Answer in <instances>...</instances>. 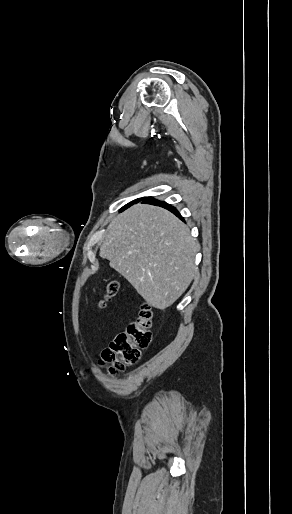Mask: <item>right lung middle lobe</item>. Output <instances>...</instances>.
Wrapping results in <instances>:
<instances>
[{
  "mask_svg": "<svg viewBox=\"0 0 292 514\" xmlns=\"http://www.w3.org/2000/svg\"><path fill=\"white\" fill-rule=\"evenodd\" d=\"M143 198H144V197H143ZM143 198H139V199H136V200H134V201H132V202L128 203L127 205H125V206L123 207V209H125V208H127V207H129V206L133 205L134 203H137V202L141 201Z\"/></svg>",
  "mask_w": 292,
  "mask_h": 514,
  "instance_id": "1",
  "label": "right lung middle lobe"
}]
</instances>
